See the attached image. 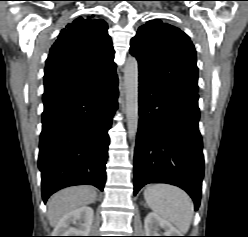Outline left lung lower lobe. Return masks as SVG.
I'll return each mask as SVG.
<instances>
[{
  "label": "left lung lower lobe",
  "mask_w": 248,
  "mask_h": 237,
  "mask_svg": "<svg viewBox=\"0 0 248 237\" xmlns=\"http://www.w3.org/2000/svg\"><path fill=\"white\" fill-rule=\"evenodd\" d=\"M198 98L139 77L134 194L148 183H168L184 189L198 209L204 174Z\"/></svg>",
  "instance_id": "1"
}]
</instances>
